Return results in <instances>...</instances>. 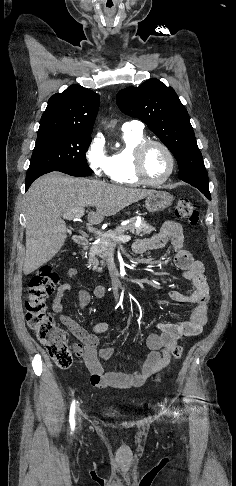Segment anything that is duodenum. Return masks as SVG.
<instances>
[{
    "instance_id": "410a0bca",
    "label": "duodenum",
    "mask_w": 236,
    "mask_h": 486,
    "mask_svg": "<svg viewBox=\"0 0 236 486\" xmlns=\"http://www.w3.org/2000/svg\"><path fill=\"white\" fill-rule=\"evenodd\" d=\"M73 240L74 243L79 247H84L88 244V238L84 235H75Z\"/></svg>"
}]
</instances>
